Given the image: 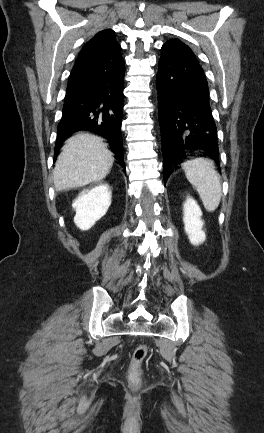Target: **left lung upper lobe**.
Segmentation results:
<instances>
[{"instance_id": "5c2ea615", "label": "left lung upper lobe", "mask_w": 264, "mask_h": 433, "mask_svg": "<svg viewBox=\"0 0 264 433\" xmlns=\"http://www.w3.org/2000/svg\"><path fill=\"white\" fill-rule=\"evenodd\" d=\"M162 53H180L187 55L194 60L196 57L189 46L181 42L179 39H170L162 46Z\"/></svg>"}]
</instances>
